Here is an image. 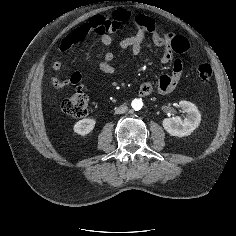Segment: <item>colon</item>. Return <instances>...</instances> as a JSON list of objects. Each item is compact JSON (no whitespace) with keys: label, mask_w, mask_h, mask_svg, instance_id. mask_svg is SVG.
Returning <instances> with one entry per match:
<instances>
[{"label":"colon","mask_w":236,"mask_h":236,"mask_svg":"<svg viewBox=\"0 0 236 236\" xmlns=\"http://www.w3.org/2000/svg\"><path fill=\"white\" fill-rule=\"evenodd\" d=\"M147 16L138 14L132 15L120 10L112 15L111 18L96 16L77 28L70 35L72 41L78 42L90 31L100 29L104 32H123L128 30L131 25L138 24L146 19ZM212 76V68L209 64H202L197 68V77L202 83H207ZM89 93L85 88H78L72 95L62 101L61 108L64 113L74 118H82L87 115L89 107Z\"/></svg>","instance_id":"obj_1"}]
</instances>
